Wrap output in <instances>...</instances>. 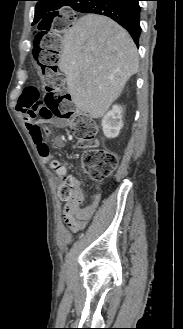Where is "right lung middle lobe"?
I'll return each mask as SVG.
<instances>
[{
    "mask_svg": "<svg viewBox=\"0 0 183 329\" xmlns=\"http://www.w3.org/2000/svg\"><path fill=\"white\" fill-rule=\"evenodd\" d=\"M39 14H40V13H38V12H35V16H39Z\"/></svg>",
    "mask_w": 183,
    "mask_h": 329,
    "instance_id": "1",
    "label": "right lung middle lobe"
}]
</instances>
